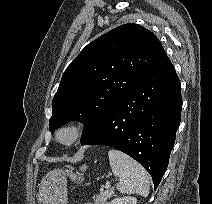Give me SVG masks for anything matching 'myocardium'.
<instances>
[{
    "label": "myocardium",
    "mask_w": 212,
    "mask_h": 204,
    "mask_svg": "<svg viewBox=\"0 0 212 204\" xmlns=\"http://www.w3.org/2000/svg\"><path fill=\"white\" fill-rule=\"evenodd\" d=\"M82 135L80 126L70 122L60 126L55 133L57 143L62 146L70 147L75 144Z\"/></svg>",
    "instance_id": "obj_1"
}]
</instances>
